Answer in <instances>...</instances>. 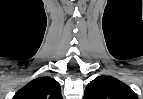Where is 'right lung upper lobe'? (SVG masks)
<instances>
[{"label":"right lung upper lobe","mask_w":143,"mask_h":99,"mask_svg":"<svg viewBox=\"0 0 143 99\" xmlns=\"http://www.w3.org/2000/svg\"><path fill=\"white\" fill-rule=\"evenodd\" d=\"M13 99H62L59 83L51 77H39L16 92Z\"/></svg>","instance_id":"obj_1"}]
</instances>
